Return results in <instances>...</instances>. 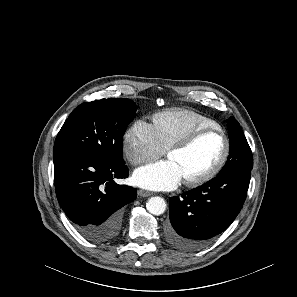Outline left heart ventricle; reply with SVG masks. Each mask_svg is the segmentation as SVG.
Listing matches in <instances>:
<instances>
[{
    "instance_id": "left-heart-ventricle-1",
    "label": "left heart ventricle",
    "mask_w": 297,
    "mask_h": 297,
    "mask_svg": "<svg viewBox=\"0 0 297 297\" xmlns=\"http://www.w3.org/2000/svg\"><path fill=\"white\" fill-rule=\"evenodd\" d=\"M224 143L218 134L201 136L190 147L169 154L182 169L184 179L195 178L209 171L223 153Z\"/></svg>"
}]
</instances>
